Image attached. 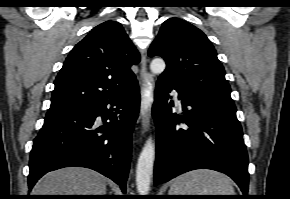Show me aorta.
Here are the masks:
<instances>
[{"label": "aorta", "mask_w": 290, "mask_h": 199, "mask_svg": "<svg viewBox=\"0 0 290 199\" xmlns=\"http://www.w3.org/2000/svg\"><path fill=\"white\" fill-rule=\"evenodd\" d=\"M165 67V62L161 58L153 59L150 64V70L153 74H161ZM154 158L155 143L153 138L149 137L139 155L136 168V186L139 195H147L150 191Z\"/></svg>", "instance_id": "obj_1"}]
</instances>
